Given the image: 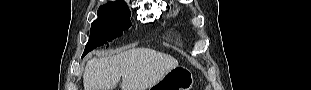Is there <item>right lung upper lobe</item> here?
I'll return each mask as SVG.
<instances>
[{
  "instance_id": "1",
  "label": "right lung upper lobe",
  "mask_w": 311,
  "mask_h": 90,
  "mask_svg": "<svg viewBox=\"0 0 311 90\" xmlns=\"http://www.w3.org/2000/svg\"><path fill=\"white\" fill-rule=\"evenodd\" d=\"M109 3H121V4H125L124 1H116V2H109Z\"/></svg>"
}]
</instances>
